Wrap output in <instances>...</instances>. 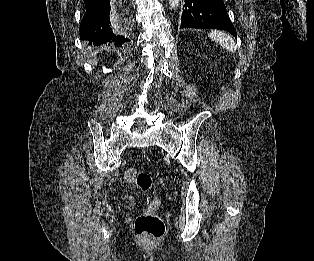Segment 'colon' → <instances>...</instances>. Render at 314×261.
Wrapping results in <instances>:
<instances>
[{
  "label": "colon",
  "mask_w": 314,
  "mask_h": 261,
  "mask_svg": "<svg viewBox=\"0 0 314 261\" xmlns=\"http://www.w3.org/2000/svg\"><path fill=\"white\" fill-rule=\"evenodd\" d=\"M125 181L135 184L141 191L148 192L152 188L153 178L145 171L129 169L124 175ZM159 206L157 199H153L147 208L135 220V233L147 241H155L160 239L165 232V224L156 214Z\"/></svg>",
  "instance_id": "colon-1"
}]
</instances>
